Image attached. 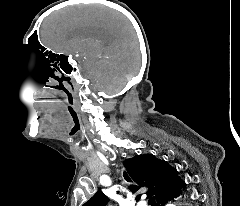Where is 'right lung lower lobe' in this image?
<instances>
[{"label": "right lung lower lobe", "mask_w": 240, "mask_h": 206, "mask_svg": "<svg viewBox=\"0 0 240 206\" xmlns=\"http://www.w3.org/2000/svg\"><path fill=\"white\" fill-rule=\"evenodd\" d=\"M183 186H184V185H183ZM180 188H181V187H180ZM180 188H179V189H180ZM179 189H178L176 192H174L173 194H171V195H169V196L161 199V200L157 203V206H164L167 201H169V200L173 199L174 197H176V196L179 194Z\"/></svg>", "instance_id": "obj_1"}]
</instances>
